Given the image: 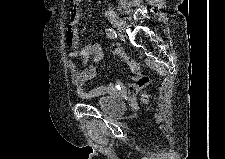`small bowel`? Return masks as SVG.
Instances as JSON below:
<instances>
[{"mask_svg": "<svg viewBox=\"0 0 225 159\" xmlns=\"http://www.w3.org/2000/svg\"><path fill=\"white\" fill-rule=\"evenodd\" d=\"M81 17V10L75 5L70 12L69 26L65 32V42L70 49L68 57L69 71L71 75L72 83L77 87V93L81 97H86L89 94H104V93H121L127 92L129 94L138 92L144 88L149 80L145 77L143 79L137 78L136 83L129 85L127 88H123L121 84H109L107 86H100L96 88L92 93H87L83 86L92 80L97 73V64L101 59L102 53L99 43L96 40L88 42L85 47L79 50V22ZM112 51L119 55H123V48L118 44L112 45ZM75 58L81 59L82 68H79L78 64L74 62Z\"/></svg>", "mask_w": 225, "mask_h": 159, "instance_id": "obj_1", "label": "small bowel"}]
</instances>
